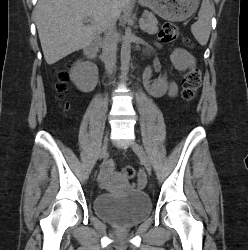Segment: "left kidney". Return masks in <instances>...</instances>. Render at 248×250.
Here are the masks:
<instances>
[{
  "mask_svg": "<svg viewBox=\"0 0 248 250\" xmlns=\"http://www.w3.org/2000/svg\"><path fill=\"white\" fill-rule=\"evenodd\" d=\"M158 87L160 88L161 91H165L167 88V81L166 79L160 80L158 82Z\"/></svg>",
  "mask_w": 248,
  "mask_h": 250,
  "instance_id": "1",
  "label": "left kidney"
}]
</instances>
